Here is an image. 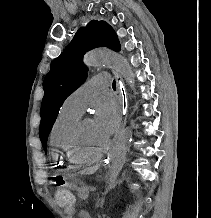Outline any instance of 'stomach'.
Here are the masks:
<instances>
[{"label":"stomach","mask_w":211,"mask_h":218,"mask_svg":"<svg viewBox=\"0 0 211 218\" xmlns=\"http://www.w3.org/2000/svg\"><path fill=\"white\" fill-rule=\"evenodd\" d=\"M65 186L72 190H77L82 182L77 178L75 174H69L64 177Z\"/></svg>","instance_id":"stomach-1"}]
</instances>
